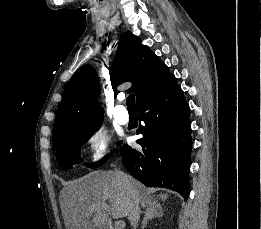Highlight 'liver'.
<instances>
[{"label":"liver","instance_id":"obj_1","mask_svg":"<svg viewBox=\"0 0 261 229\" xmlns=\"http://www.w3.org/2000/svg\"><path fill=\"white\" fill-rule=\"evenodd\" d=\"M131 181L141 207L157 203L144 191V185L135 179ZM158 197L161 201L168 199V195ZM107 199L110 205H106ZM130 203L120 175L113 171H94L70 183L68 197L64 201L65 225L67 229H106L109 213L113 219H129Z\"/></svg>","mask_w":261,"mask_h":229}]
</instances>
